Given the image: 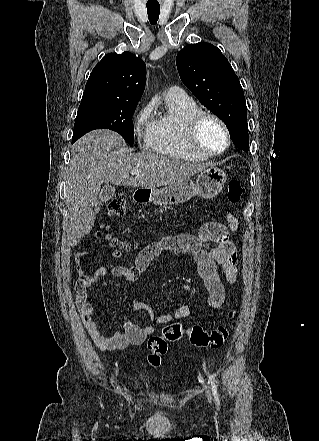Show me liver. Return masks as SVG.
<instances>
[{
  "label": "liver",
  "mask_w": 319,
  "mask_h": 441,
  "mask_svg": "<svg viewBox=\"0 0 319 441\" xmlns=\"http://www.w3.org/2000/svg\"><path fill=\"white\" fill-rule=\"evenodd\" d=\"M208 163L152 153H132L123 138L110 130H94L74 143L68 165L66 199L69 211L68 246L89 234L100 208L97 199L103 183L155 189L173 186L199 173ZM140 169L135 178L130 176Z\"/></svg>",
  "instance_id": "obj_1"
}]
</instances>
